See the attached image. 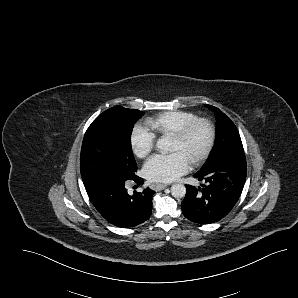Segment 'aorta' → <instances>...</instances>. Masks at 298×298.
Wrapping results in <instances>:
<instances>
[{
  "label": "aorta",
  "mask_w": 298,
  "mask_h": 298,
  "mask_svg": "<svg viewBox=\"0 0 298 298\" xmlns=\"http://www.w3.org/2000/svg\"><path fill=\"white\" fill-rule=\"evenodd\" d=\"M172 140L168 137H161L158 142L157 146L163 153H168L173 150L172 147ZM171 194L173 197H184L186 195V187L182 183H174L170 188Z\"/></svg>",
  "instance_id": "762f6f07"
}]
</instances>
